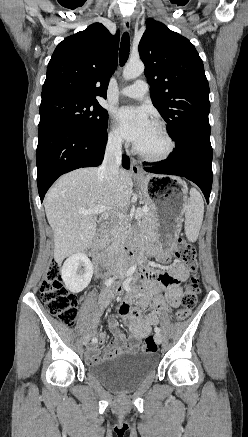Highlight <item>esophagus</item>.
Instances as JSON below:
<instances>
[{"instance_id":"1","label":"esophagus","mask_w":248,"mask_h":437,"mask_svg":"<svg viewBox=\"0 0 248 437\" xmlns=\"http://www.w3.org/2000/svg\"><path fill=\"white\" fill-rule=\"evenodd\" d=\"M123 28L126 32H130L131 29V19L129 17H125L123 19ZM130 169H131V173L134 176H143V173L140 169V167L138 166L137 162L135 159H131V163H130Z\"/></svg>"}]
</instances>
